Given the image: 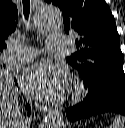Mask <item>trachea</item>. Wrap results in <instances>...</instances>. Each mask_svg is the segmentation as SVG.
<instances>
[{
    "label": "trachea",
    "mask_w": 125,
    "mask_h": 128,
    "mask_svg": "<svg viewBox=\"0 0 125 128\" xmlns=\"http://www.w3.org/2000/svg\"><path fill=\"white\" fill-rule=\"evenodd\" d=\"M22 3L25 19L28 20L30 14V0H22Z\"/></svg>",
    "instance_id": "obj_1"
}]
</instances>
